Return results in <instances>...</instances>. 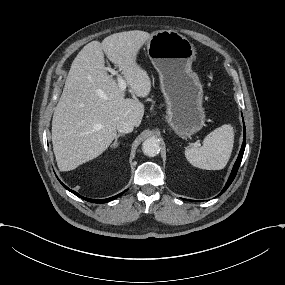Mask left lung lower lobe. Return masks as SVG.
Listing matches in <instances>:
<instances>
[{
	"instance_id": "0a47b994",
	"label": "left lung lower lobe",
	"mask_w": 285,
	"mask_h": 285,
	"mask_svg": "<svg viewBox=\"0 0 285 285\" xmlns=\"http://www.w3.org/2000/svg\"><path fill=\"white\" fill-rule=\"evenodd\" d=\"M243 125H244V139H243V144H242V147H241V150L239 152V155H238V158L234 164V167L232 169V172L229 176V179L225 185V187L223 188V190L221 191V193L219 195H221L222 193H224L227 188L230 186V184L232 183V181L234 180L236 174H237V171H238V168L240 166V163H241V160H242V157H243V154H244V149H245V143H246V129H245V124L243 122ZM218 195V196H219Z\"/></svg>"
}]
</instances>
